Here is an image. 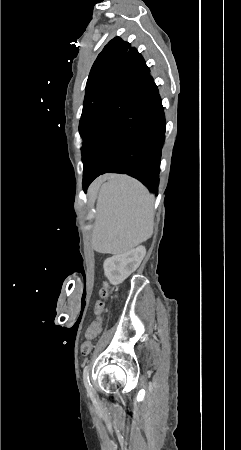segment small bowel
Wrapping results in <instances>:
<instances>
[{
    "label": "small bowel",
    "mask_w": 241,
    "mask_h": 450,
    "mask_svg": "<svg viewBox=\"0 0 241 450\" xmlns=\"http://www.w3.org/2000/svg\"><path fill=\"white\" fill-rule=\"evenodd\" d=\"M93 331H98L99 333L101 332V330H93Z\"/></svg>",
    "instance_id": "obj_1"
}]
</instances>
